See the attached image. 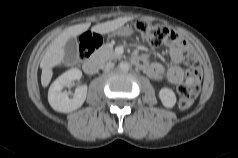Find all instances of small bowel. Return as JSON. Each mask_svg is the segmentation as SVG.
I'll return each instance as SVG.
<instances>
[{
  "instance_id": "1",
  "label": "small bowel",
  "mask_w": 238,
  "mask_h": 158,
  "mask_svg": "<svg viewBox=\"0 0 238 158\" xmlns=\"http://www.w3.org/2000/svg\"><path fill=\"white\" fill-rule=\"evenodd\" d=\"M165 45L170 55L172 62L171 66L165 70L161 63L154 62L147 64V71L154 79H160L166 75V78L170 83L175 85L180 84L184 79V71L180 65L183 61L184 54L189 49V45L185 39L176 34L173 38L167 40Z\"/></svg>"
}]
</instances>
